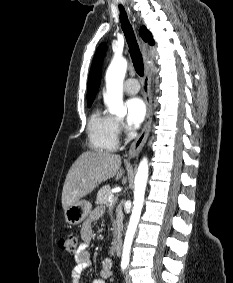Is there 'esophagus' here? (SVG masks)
Masks as SVG:
<instances>
[{
  "label": "esophagus",
  "instance_id": "34e87169",
  "mask_svg": "<svg viewBox=\"0 0 233 283\" xmlns=\"http://www.w3.org/2000/svg\"><path fill=\"white\" fill-rule=\"evenodd\" d=\"M142 50L143 56L145 61V76L143 81V93H144V100L146 104V118L144 126L137 136V138L132 143L127 158L132 159L140 153L144 144L147 141V138L150 133L151 124H152V97H151V78H152V71H151V63L149 61V55L147 53V47L142 42Z\"/></svg>",
  "mask_w": 233,
  "mask_h": 283
}]
</instances>
